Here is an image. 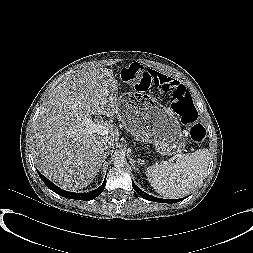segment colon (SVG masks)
<instances>
[{
    "label": "colon",
    "instance_id": "5ec220e1",
    "mask_svg": "<svg viewBox=\"0 0 253 253\" xmlns=\"http://www.w3.org/2000/svg\"><path fill=\"white\" fill-rule=\"evenodd\" d=\"M148 71L138 64H131L122 71V77L127 83L134 84L140 79L147 78ZM172 102V109L180 120L188 125L190 138L194 142H201L205 138V128L197 121V110L190 94L181 84L165 89Z\"/></svg>",
    "mask_w": 253,
    "mask_h": 253
}]
</instances>
